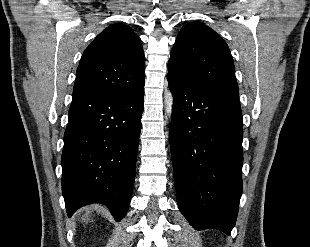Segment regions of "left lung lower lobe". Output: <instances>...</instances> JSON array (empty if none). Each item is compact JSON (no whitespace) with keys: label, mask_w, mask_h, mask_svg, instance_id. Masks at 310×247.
Masks as SVG:
<instances>
[{"label":"left lung lower lobe","mask_w":310,"mask_h":247,"mask_svg":"<svg viewBox=\"0 0 310 247\" xmlns=\"http://www.w3.org/2000/svg\"><path fill=\"white\" fill-rule=\"evenodd\" d=\"M173 95L169 128L178 207L197 230L230 234L242 194L239 99L167 74Z\"/></svg>","instance_id":"obj_1"}]
</instances>
